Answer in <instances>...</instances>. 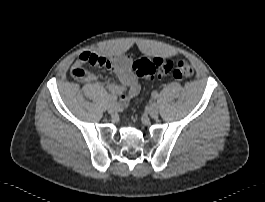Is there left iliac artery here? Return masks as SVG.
<instances>
[{"instance_id": "1", "label": "left iliac artery", "mask_w": 265, "mask_h": 202, "mask_svg": "<svg viewBox=\"0 0 265 202\" xmlns=\"http://www.w3.org/2000/svg\"><path fill=\"white\" fill-rule=\"evenodd\" d=\"M152 97H153L154 99H156V98L158 97V93H157V92H153V93H152Z\"/></svg>"}]
</instances>
